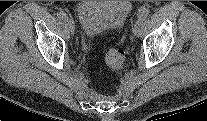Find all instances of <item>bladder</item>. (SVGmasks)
I'll list each match as a JSON object with an SVG mask.
<instances>
[{
  "mask_svg": "<svg viewBox=\"0 0 207 121\" xmlns=\"http://www.w3.org/2000/svg\"><path fill=\"white\" fill-rule=\"evenodd\" d=\"M131 10L129 1H81L76 8L81 28L88 37L120 29Z\"/></svg>",
  "mask_w": 207,
  "mask_h": 121,
  "instance_id": "obj_1",
  "label": "bladder"
}]
</instances>
